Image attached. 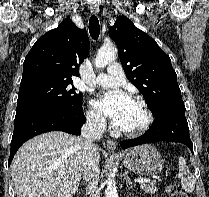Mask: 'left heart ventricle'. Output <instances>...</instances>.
<instances>
[{
	"label": "left heart ventricle",
	"mask_w": 209,
	"mask_h": 197,
	"mask_svg": "<svg viewBox=\"0 0 209 197\" xmlns=\"http://www.w3.org/2000/svg\"><path fill=\"white\" fill-rule=\"evenodd\" d=\"M144 120V114L141 107L136 103L135 108L127 124L122 129H134L138 127Z\"/></svg>",
	"instance_id": "b2bd125f"
}]
</instances>
